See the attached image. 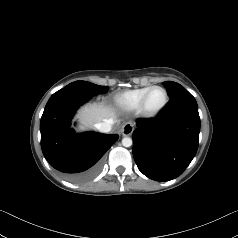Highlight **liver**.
Listing matches in <instances>:
<instances>
[{
  "label": "liver",
  "mask_w": 238,
  "mask_h": 238,
  "mask_svg": "<svg viewBox=\"0 0 238 238\" xmlns=\"http://www.w3.org/2000/svg\"><path fill=\"white\" fill-rule=\"evenodd\" d=\"M77 117L81 123L79 128L84 130L106 120L114 122L116 114L111 107L102 104H88L79 110Z\"/></svg>",
  "instance_id": "obj_1"
}]
</instances>
